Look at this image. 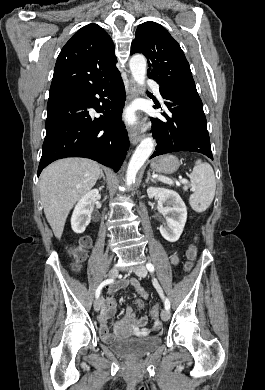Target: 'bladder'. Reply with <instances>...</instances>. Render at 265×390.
<instances>
[{
    "label": "bladder",
    "mask_w": 265,
    "mask_h": 390,
    "mask_svg": "<svg viewBox=\"0 0 265 390\" xmlns=\"http://www.w3.org/2000/svg\"><path fill=\"white\" fill-rule=\"evenodd\" d=\"M114 353L128 359L147 355L161 345L159 336L116 338L109 342Z\"/></svg>",
    "instance_id": "bladder-1"
}]
</instances>
